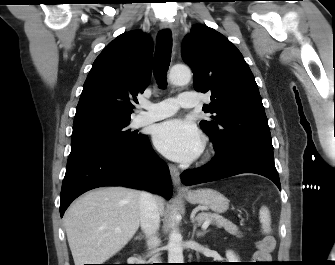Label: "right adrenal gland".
<instances>
[{"label":"right adrenal gland","instance_id":"obj_1","mask_svg":"<svg viewBox=\"0 0 335 265\" xmlns=\"http://www.w3.org/2000/svg\"><path fill=\"white\" fill-rule=\"evenodd\" d=\"M143 238H144V236L139 235V236H136V237H135V240H141V239H143Z\"/></svg>","mask_w":335,"mask_h":265}]
</instances>
